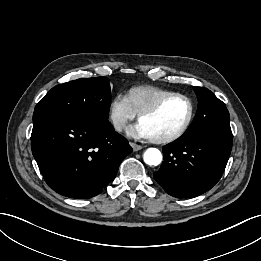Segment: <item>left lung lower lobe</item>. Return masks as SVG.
I'll list each match as a JSON object with an SVG mask.
<instances>
[{"label": "left lung lower lobe", "instance_id": "1", "mask_svg": "<svg viewBox=\"0 0 261 261\" xmlns=\"http://www.w3.org/2000/svg\"><path fill=\"white\" fill-rule=\"evenodd\" d=\"M232 132L180 137L163 148L164 161L154 179L171 196L192 198L221 178L232 149Z\"/></svg>", "mask_w": 261, "mask_h": 261}]
</instances>
